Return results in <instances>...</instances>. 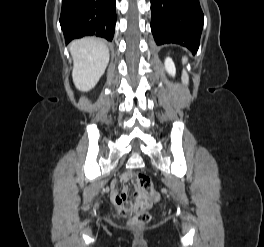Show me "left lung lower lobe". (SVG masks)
Here are the masks:
<instances>
[{
  "instance_id": "left-lung-lower-lobe-1",
  "label": "left lung lower lobe",
  "mask_w": 264,
  "mask_h": 247,
  "mask_svg": "<svg viewBox=\"0 0 264 247\" xmlns=\"http://www.w3.org/2000/svg\"><path fill=\"white\" fill-rule=\"evenodd\" d=\"M151 11L158 45L175 43L197 52L204 22L199 0H151Z\"/></svg>"
}]
</instances>
